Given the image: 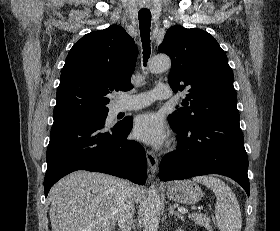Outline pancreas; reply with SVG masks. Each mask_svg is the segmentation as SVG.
<instances>
[{
  "mask_svg": "<svg viewBox=\"0 0 280 231\" xmlns=\"http://www.w3.org/2000/svg\"><path fill=\"white\" fill-rule=\"evenodd\" d=\"M191 219L197 223V225H204L208 231H213L212 225H210V217H207V215H203V213H192L190 215Z\"/></svg>",
  "mask_w": 280,
  "mask_h": 231,
  "instance_id": "pancreas-1",
  "label": "pancreas"
}]
</instances>
